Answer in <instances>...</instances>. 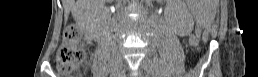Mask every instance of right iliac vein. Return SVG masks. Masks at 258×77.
I'll list each match as a JSON object with an SVG mask.
<instances>
[{
  "label": "right iliac vein",
  "mask_w": 258,
  "mask_h": 77,
  "mask_svg": "<svg viewBox=\"0 0 258 77\" xmlns=\"http://www.w3.org/2000/svg\"><path fill=\"white\" fill-rule=\"evenodd\" d=\"M123 70V60L120 55H117L113 61L111 74L112 77L118 76Z\"/></svg>",
  "instance_id": "right-iliac-vein-1"
}]
</instances>
